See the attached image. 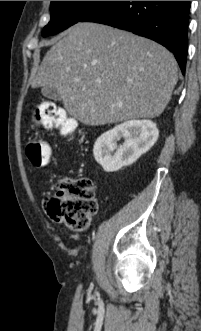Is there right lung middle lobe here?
Returning <instances> with one entry per match:
<instances>
[{
  "mask_svg": "<svg viewBox=\"0 0 201 331\" xmlns=\"http://www.w3.org/2000/svg\"><path fill=\"white\" fill-rule=\"evenodd\" d=\"M105 2L107 1H51V20L44 27L42 36L56 34L80 22Z\"/></svg>",
  "mask_w": 201,
  "mask_h": 331,
  "instance_id": "right-lung-middle-lobe-1",
  "label": "right lung middle lobe"
}]
</instances>
